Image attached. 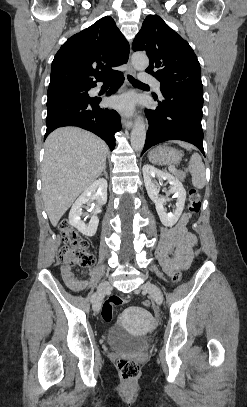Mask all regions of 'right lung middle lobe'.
Instances as JSON below:
<instances>
[{
    "instance_id": "dd1d6c3e",
    "label": "right lung middle lobe",
    "mask_w": 247,
    "mask_h": 407,
    "mask_svg": "<svg viewBox=\"0 0 247 407\" xmlns=\"http://www.w3.org/2000/svg\"><path fill=\"white\" fill-rule=\"evenodd\" d=\"M91 87L68 86L48 90L47 107L70 100H91L88 91Z\"/></svg>"
}]
</instances>
